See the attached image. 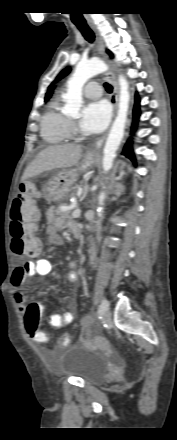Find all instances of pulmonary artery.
<instances>
[{"label": "pulmonary artery", "instance_id": "e3ab8cb5", "mask_svg": "<svg viewBox=\"0 0 177 440\" xmlns=\"http://www.w3.org/2000/svg\"><path fill=\"white\" fill-rule=\"evenodd\" d=\"M84 94L88 98L96 99L102 95V88L97 82H90L85 86Z\"/></svg>", "mask_w": 177, "mask_h": 440}]
</instances>
